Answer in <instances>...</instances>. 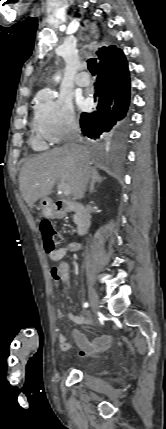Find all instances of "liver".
I'll return each mask as SVG.
<instances>
[{"instance_id": "1", "label": "liver", "mask_w": 166, "mask_h": 429, "mask_svg": "<svg viewBox=\"0 0 166 429\" xmlns=\"http://www.w3.org/2000/svg\"><path fill=\"white\" fill-rule=\"evenodd\" d=\"M90 165L91 155L85 148L83 158L65 147L54 148L24 163L19 174L21 194L32 208L37 200L51 194L55 179L59 178L70 186L76 199H81L85 182H93L97 174Z\"/></svg>"}]
</instances>
